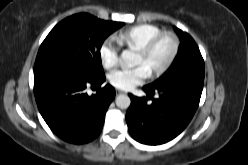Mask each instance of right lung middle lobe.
<instances>
[{"instance_id": "obj_1", "label": "right lung middle lobe", "mask_w": 248, "mask_h": 165, "mask_svg": "<svg viewBox=\"0 0 248 165\" xmlns=\"http://www.w3.org/2000/svg\"><path fill=\"white\" fill-rule=\"evenodd\" d=\"M122 22L100 20L79 13L58 23L40 46L34 73L55 66H73L90 78L104 75L100 48Z\"/></svg>"}]
</instances>
